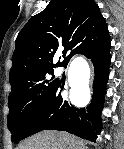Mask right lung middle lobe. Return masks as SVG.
Masks as SVG:
<instances>
[{"label":"right lung middle lobe","instance_id":"1","mask_svg":"<svg viewBox=\"0 0 124 149\" xmlns=\"http://www.w3.org/2000/svg\"><path fill=\"white\" fill-rule=\"evenodd\" d=\"M59 81L53 70L38 73L9 94L7 116L11 140L18 143L24 129L45 100L55 91Z\"/></svg>","mask_w":124,"mask_h":149}]
</instances>
